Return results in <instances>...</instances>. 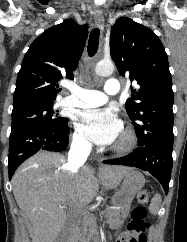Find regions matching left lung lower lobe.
I'll return each mask as SVG.
<instances>
[{
    "instance_id": "obj_1",
    "label": "left lung lower lobe",
    "mask_w": 187,
    "mask_h": 242,
    "mask_svg": "<svg viewBox=\"0 0 187 242\" xmlns=\"http://www.w3.org/2000/svg\"><path fill=\"white\" fill-rule=\"evenodd\" d=\"M173 140L159 141L136 148L127 156L105 160V164L133 166L148 171L162 184L168 193L172 170Z\"/></svg>"
}]
</instances>
